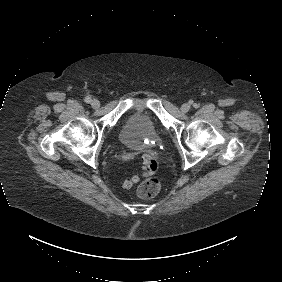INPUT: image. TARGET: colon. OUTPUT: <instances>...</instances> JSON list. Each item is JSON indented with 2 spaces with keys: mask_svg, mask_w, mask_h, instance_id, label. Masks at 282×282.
<instances>
[{
  "mask_svg": "<svg viewBox=\"0 0 282 282\" xmlns=\"http://www.w3.org/2000/svg\"><path fill=\"white\" fill-rule=\"evenodd\" d=\"M159 170L158 161L151 156L145 157L144 165H143V174L133 175L122 182V186L124 188H131L140 182L144 177L151 176L152 174L157 173ZM161 190V183L159 180L147 179L138 187L137 196L141 199H152L154 198L159 191Z\"/></svg>",
  "mask_w": 282,
  "mask_h": 282,
  "instance_id": "1",
  "label": "colon"
}]
</instances>
